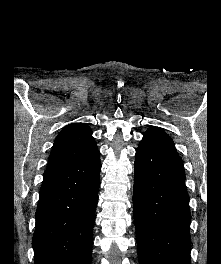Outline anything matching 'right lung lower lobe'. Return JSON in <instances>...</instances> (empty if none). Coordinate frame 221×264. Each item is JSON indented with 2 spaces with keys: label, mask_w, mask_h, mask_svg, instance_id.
<instances>
[{
  "label": "right lung lower lobe",
  "mask_w": 221,
  "mask_h": 264,
  "mask_svg": "<svg viewBox=\"0 0 221 264\" xmlns=\"http://www.w3.org/2000/svg\"><path fill=\"white\" fill-rule=\"evenodd\" d=\"M100 152L47 167L32 239L34 264H91Z\"/></svg>",
  "instance_id": "obj_1"
}]
</instances>
